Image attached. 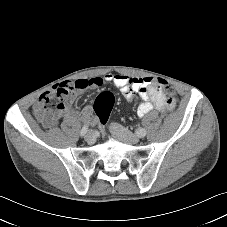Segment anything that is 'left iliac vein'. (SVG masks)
<instances>
[{
    "label": "left iliac vein",
    "mask_w": 227,
    "mask_h": 227,
    "mask_svg": "<svg viewBox=\"0 0 227 227\" xmlns=\"http://www.w3.org/2000/svg\"><path fill=\"white\" fill-rule=\"evenodd\" d=\"M112 135L127 144H136L139 142V137L128 131L119 124L112 123L110 125Z\"/></svg>",
    "instance_id": "1"
}]
</instances>
